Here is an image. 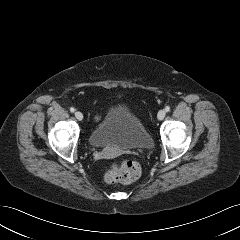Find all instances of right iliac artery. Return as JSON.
Wrapping results in <instances>:
<instances>
[{
    "instance_id": "right-iliac-artery-1",
    "label": "right iliac artery",
    "mask_w": 240,
    "mask_h": 240,
    "mask_svg": "<svg viewBox=\"0 0 240 240\" xmlns=\"http://www.w3.org/2000/svg\"><path fill=\"white\" fill-rule=\"evenodd\" d=\"M70 111L73 113L75 111V109L73 107H71Z\"/></svg>"
}]
</instances>
